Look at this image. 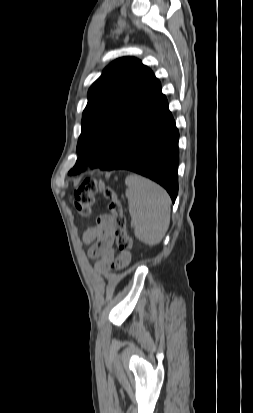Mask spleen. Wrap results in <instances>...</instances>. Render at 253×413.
Returning a JSON list of instances; mask_svg holds the SVG:
<instances>
[{
  "instance_id": "spleen-1",
  "label": "spleen",
  "mask_w": 253,
  "mask_h": 413,
  "mask_svg": "<svg viewBox=\"0 0 253 413\" xmlns=\"http://www.w3.org/2000/svg\"><path fill=\"white\" fill-rule=\"evenodd\" d=\"M125 184L136 238L150 246L160 243L170 224L168 193L158 184L136 174L128 175Z\"/></svg>"
}]
</instances>
